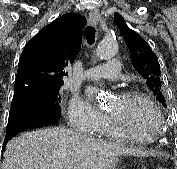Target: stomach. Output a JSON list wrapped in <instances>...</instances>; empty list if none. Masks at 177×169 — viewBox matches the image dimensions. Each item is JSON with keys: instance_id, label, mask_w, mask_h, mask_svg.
Listing matches in <instances>:
<instances>
[{"instance_id": "stomach-1", "label": "stomach", "mask_w": 177, "mask_h": 169, "mask_svg": "<svg viewBox=\"0 0 177 169\" xmlns=\"http://www.w3.org/2000/svg\"><path fill=\"white\" fill-rule=\"evenodd\" d=\"M118 163H119V160L116 159V160L108 167V169H118Z\"/></svg>"}]
</instances>
